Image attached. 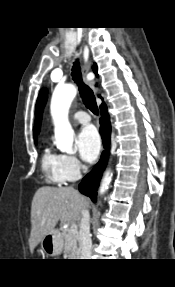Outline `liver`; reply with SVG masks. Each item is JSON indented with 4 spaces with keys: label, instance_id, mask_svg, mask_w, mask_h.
Wrapping results in <instances>:
<instances>
[{
    "label": "liver",
    "instance_id": "1",
    "mask_svg": "<svg viewBox=\"0 0 175 287\" xmlns=\"http://www.w3.org/2000/svg\"><path fill=\"white\" fill-rule=\"evenodd\" d=\"M88 204L87 198L71 188H39L31 204L30 252L33 253L42 238L55 228L58 221L74 222Z\"/></svg>",
    "mask_w": 175,
    "mask_h": 287
}]
</instances>
